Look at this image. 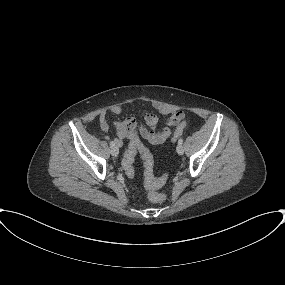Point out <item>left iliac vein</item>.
Segmentation results:
<instances>
[{
	"mask_svg": "<svg viewBox=\"0 0 285 285\" xmlns=\"http://www.w3.org/2000/svg\"><path fill=\"white\" fill-rule=\"evenodd\" d=\"M176 151H177V153H178L179 155H182V154L184 153V148H183V146L178 144L177 147H176Z\"/></svg>",
	"mask_w": 285,
	"mask_h": 285,
	"instance_id": "obj_1",
	"label": "left iliac vein"
}]
</instances>
